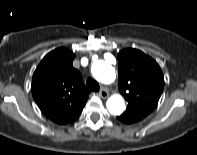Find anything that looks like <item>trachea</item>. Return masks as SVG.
Listing matches in <instances>:
<instances>
[{
  "mask_svg": "<svg viewBox=\"0 0 197 155\" xmlns=\"http://www.w3.org/2000/svg\"><path fill=\"white\" fill-rule=\"evenodd\" d=\"M87 86L91 91H98L100 86L98 84V82H96L93 78H88L87 79Z\"/></svg>",
  "mask_w": 197,
  "mask_h": 155,
  "instance_id": "3493384b",
  "label": "trachea"
}]
</instances>
